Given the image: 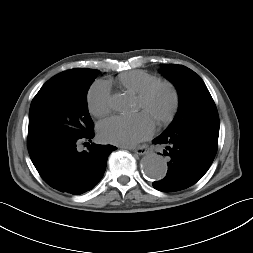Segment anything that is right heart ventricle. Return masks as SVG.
Returning <instances> with one entry per match:
<instances>
[{
    "mask_svg": "<svg viewBox=\"0 0 253 253\" xmlns=\"http://www.w3.org/2000/svg\"><path fill=\"white\" fill-rule=\"evenodd\" d=\"M159 81V78L143 70H131L118 77L119 84L126 90L139 94L151 84Z\"/></svg>",
    "mask_w": 253,
    "mask_h": 253,
    "instance_id": "e07e8e85",
    "label": "right heart ventricle"
}]
</instances>
